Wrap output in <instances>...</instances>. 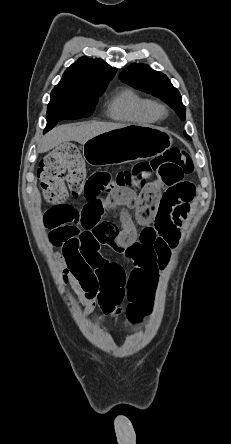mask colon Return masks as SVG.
<instances>
[{
    "mask_svg": "<svg viewBox=\"0 0 231 444\" xmlns=\"http://www.w3.org/2000/svg\"><path fill=\"white\" fill-rule=\"evenodd\" d=\"M193 170L194 163L189 154L183 149L171 148L161 156L118 171L114 181L104 191L115 187L142 188L152 177L170 188H178L184 182V177ZM39 178L43 195L52 205L44 215L45 226L50 230L58 229L71 220L70 212L63 203L68 194L82 197L86 189L88 178L78 148L67 144L48 153L40 163ZM63 257L69 269L79 268L83 263L77 251L65 250ZM154 290L155 287L150 285L131 297L128 309L130 319L138 321L149 312Z\"/></svg>",
    "mask_w": 231,
    "mask_h": 444,
    "instance_id": "colon-1",
    "label": "colon"
}]
</instances>
